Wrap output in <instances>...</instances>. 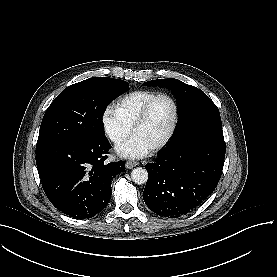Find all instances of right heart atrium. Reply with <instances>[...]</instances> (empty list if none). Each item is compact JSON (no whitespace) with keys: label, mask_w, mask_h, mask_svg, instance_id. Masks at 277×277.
<instances>
[{"label":"right heart atrium","mask_w":277,"mask_h":277,"mask_svg":"<svg viewBox=\"0 0 277 277\" xmlns=\"http://www.w3.org/2000/svg\"><path fill=\"white\" fill-rule=\"evenodd\" d=\"M102 127L105 135L115 141L119 140L127 133V124L117 113L111 110H106L104 112Z\"/></svg>","instance_id":"right-heart-atrium-1"}]
</instances>
